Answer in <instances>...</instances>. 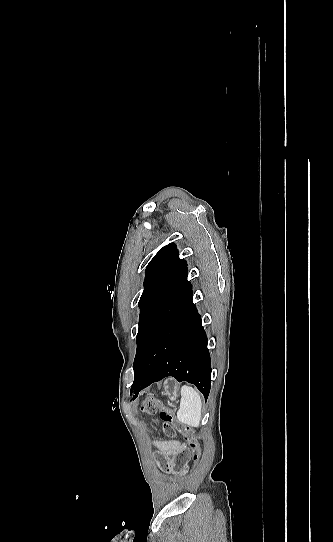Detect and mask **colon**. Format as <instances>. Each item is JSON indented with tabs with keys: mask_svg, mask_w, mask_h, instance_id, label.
Wrapping results in <instances>:
<instances>
[{
	"mask_svg": "<svg viewBox=\"0 0 333 542\" xmlns=\"http://www.w3.org/2000/svg\"><path fill=\"white\" fill-rule=\"evenodd\" d=\"M157 409H160V418L163 422L164 433L170 437L182 435L190 446L192 457L197 460L201 454L200 441L194 431L186 425L175 420L172 411L161 406L160 402L153 397H148L142 407V410L152 415ZM185 451L176 449L172 457L164 455L160 459L161 468L166 472H183L187 468V462L184 460Z\"/></svg>",
	"mask_w": 333,
	"mask_h": 542,
	"instance_id": "colon-1",
	"label": "colon"
}]
</instances>
